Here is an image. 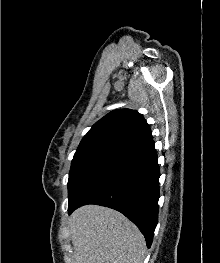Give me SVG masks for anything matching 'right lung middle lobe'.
<instances>
[{"mask_svg": "<svg viewBox=\"0 0 220 263\" xmlns=\"http://www.w3.org/2000/svg\"><path fill=\"white\" fill-rule=\"evenodd\" d=\"M119 152L115 150L76 151L69 173L68 198L73 203L96 173Z\"/></svg>", "mask_w": 220, "mask_h": 263, "instance_id": "right-lung-middle-lobe-1", "label": "right lung middle lobe"}]
</instances>
